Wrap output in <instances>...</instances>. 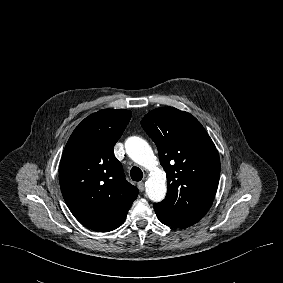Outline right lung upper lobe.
<instances>
[{"label":"right lung upper lobe","mask_w":283,"mask_h":283,"mask_svg":"<svg viewBox=\"0 0 283 283\" xmlns=\"http://www.w3.org/2000/svg\"><path fill=\"white\" fill-rule=\"evenodd\" d=\"M130 118L129 110L89 115L73 131L61 158L63 198L74 217L95 231L118 228L138 195L113 152Z\"/></svg>","instance_id":"obj_1"}]
</instances>
